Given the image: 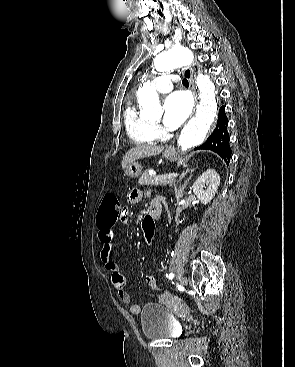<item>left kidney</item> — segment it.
<instances>
[{
    "instance_id": "1",
    "label": "left kidney",
    "mask_w": 295,
    "mask_h": 367,
    "mask_svg": "<svg viewBox=\"0 0 295 367\" xmlns=\"http://www.w3.org/2000/svg\"><path fill=\"white\" fill-rule=\"evenodd\" d=\"M220 185V176L214 169L206 170L194 182L192 189L203 205L208 204L215 196Z\"/></svg>"
}]
</instances>
